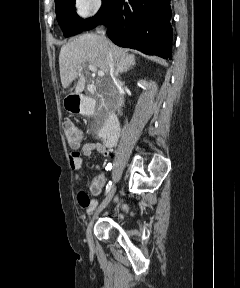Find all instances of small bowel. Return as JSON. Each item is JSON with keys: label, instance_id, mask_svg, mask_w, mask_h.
Masks as SVG:
<instances>
[{"label": "small bowel", "instance_id": "obj_1", "mask_svg": "<svg viewBox=\"0 0 240 288\" xmlns=\"http://www.w3.org/2000/svg\"><path fill=\"white\" fill-rule=\"evenodd\" d=\"M74 150H77L79 146L72 147ZM96 151L101 156L107 157L109 156L108 147L101 143H85L79 152H73L69 156V163L71 169L74 171V180L76 182L79 181V171L82 167V156L89 157L91 154ZM96 169H99V166H95ZM105 183V178L103 176H97L95 178L96 189L95 192L99 193L102 186ZM78 200L82 208H84L87 212H92L98 201L96 199L89 198L82 189H78Z\"/></svg>", "mask_w": 240, "mask_h": 288}]
</instances>
